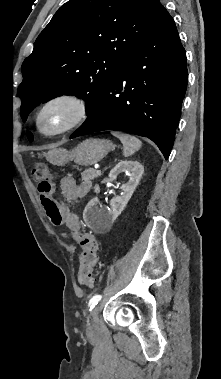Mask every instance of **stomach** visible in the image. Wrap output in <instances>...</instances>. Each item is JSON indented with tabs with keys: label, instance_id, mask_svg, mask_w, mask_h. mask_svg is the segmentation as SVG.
<instances>
[{
	"label": "stomach",
	"instance_id": "1",
	"mask_svg": "<svg viewBox=\"0 0 221 379\" xmlns=\"http://www.w3.org/2000/svg\"><path fill=\"white\" fill-rule=\"evenodd\" d=\"M113 149L114 145L109 140L90 138L71 151L54 148L47 152L46 158L57 166H63L70 161L81 166H91L101 161Z\"/></svg>",
	"mask_w": 221,
	"mask_h": 379
}]
</instances>
